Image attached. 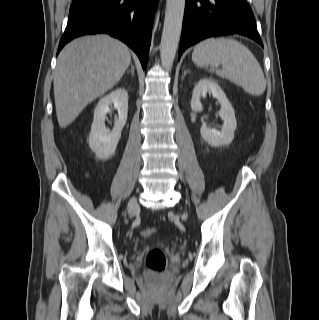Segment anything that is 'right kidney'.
Segmentation results:
<instances>
[{
    "label": "right kidney",
    "instance_id": "right-kidney-1",
    "mask_svg": "<svg viewBox=\"0 0 319 320\" xmlns=\"http://www.w3.org/2000/svg\"><path fill=\"white\" fill-rule=\"evenodd\" d=\"M112 104L118 110V118L115 119L114 128L110 131L105 126V118ZM127 114L128 93L124 88L115 89L100 99L94 111L89 135V146L97 158L105 160L114 154L127 121Z\"/></svg>",
    "mask_w": 319,
    "mask_h": 320
}]
</instances>
